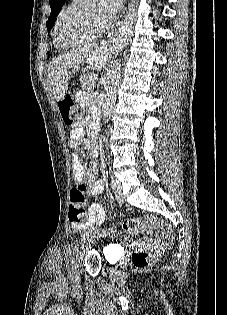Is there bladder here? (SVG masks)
I'll list each match as a JSON object with an SVG mask.
<instances>
[{"mask_svg":"<svg viewBox=\"0 0 227 315\" xmlns=\"http://www.w3.org/2000/svg\"><path fill=\"white\" fill-rule=\"evenodd\" d=\"M104 254H105V258L107 259L108 262H110V263L115 262V256L116 255L110 247L106 248V250L104 251Z\"/></svg>","mask_w":227,"mask_h":315,"instance_id":"obj_1","label":"bladder"}]
</instances>
